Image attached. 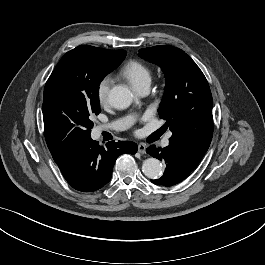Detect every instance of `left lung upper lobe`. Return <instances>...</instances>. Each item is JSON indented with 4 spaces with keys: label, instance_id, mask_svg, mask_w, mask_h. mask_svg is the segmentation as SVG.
<instances>
[{
    "label": "left lung upper lobe",
    "instance_id": "1",
    "mask_svg": "<svg viewBox=\"0 0 265 265\" xmlns=\"http://www.w3.org/2000/svg\"><path fill=\"white\" fill-rule=\"evenodd\" d=\"M139 56L163 69L166 87L158 113L172 132L169 146L196 167L213 136V101L204 74L189 55L170 45L140 49Z\"/></svg>",
    "mask_w": 265,
    "mask_h": 265
}]
</instances>
